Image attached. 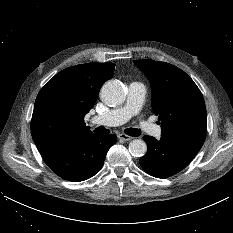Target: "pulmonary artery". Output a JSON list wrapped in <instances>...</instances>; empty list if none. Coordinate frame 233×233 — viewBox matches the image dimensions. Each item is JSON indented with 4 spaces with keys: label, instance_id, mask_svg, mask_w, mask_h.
Segmentation results:
<instances>
[{
    "label": "pulmonary artery",
    "instance_id": "pulmonary-artery-1",
    "mask_svg": "<svg viewBox=\"0 0 233 233\" xmlns=\"http://www.w3.org/2000/svg\"><path fill=\"white\" fill-rule=\"evenodd\" d=\"M146 96V88L140 82H132L128 87V94L123 105L93 117V122L106 126H116L127 122L141 109ZM140 128L147 134L159 137L161 128L149 121H142Z\"/></svg>",
    "mask_w": 233,
    "mask_h": 233
}]
</instances>
